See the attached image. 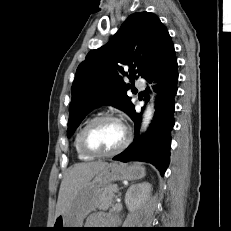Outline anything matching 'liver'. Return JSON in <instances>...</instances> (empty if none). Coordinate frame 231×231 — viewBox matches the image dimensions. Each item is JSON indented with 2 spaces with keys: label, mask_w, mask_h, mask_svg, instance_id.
I'll return each instance as SVG.
<instances>
[{
  "label": "liver",
  "mask_w": 231,
  "mask_h": 231,
  "mask_svg": "<svg viewBox=\"0 0 231 231\" xmlns=\"http://www.w3.org/2000/svg\"><path fill=\"white\" fill-rule=\"evenodd\" d=\"M107 165L103 161L78 163L66 172L60 185L55 218L66 212L77 193Z\"/></svg>",
  "instance_id": "obj_1"
}]
</instances>
